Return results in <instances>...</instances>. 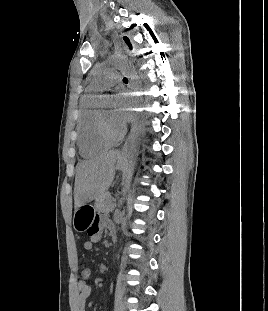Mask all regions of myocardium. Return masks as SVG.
<instances>
[{"instance_id":"f54148a6","label":"myocardium","mask_w":268,"mask_h":311,"mask_svg":"<svg viewBox=\"0 0 268 311\" xmlns=\"http://www.w3.org/2000/svg\"><path fill=\"white\" fill-rule=\"evenodd\" d=\"M98 129H99L100 135L105 140H108L111 142H116V141L121 140L126 132V128L124 125H122L117 131H113L109 127L101 110H98Z\"/></svg>"}]
</instances>
